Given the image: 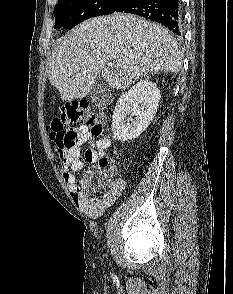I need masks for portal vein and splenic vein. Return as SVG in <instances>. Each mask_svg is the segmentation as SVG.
<instances>
[{
    "label": "portal vein and splenic vein",
    "instance_id": "portal-vein-and-splenic-vein-1",
    "mask_svg": "<svg viewBox=\"0 0 233 294\" xmlns=\"http://www.w3.org/2000/svg\"><path fill=\"white\" fill-rule=\"evenodd\" d=\"M108 66H110V67H114L115 65H114V63H108Z\"/></svg>",
    "mask_w": 233,
    "mask_h": 294
}]
</instances>
